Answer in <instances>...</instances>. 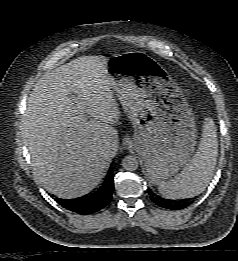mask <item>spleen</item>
Instances as JSON below:
<instances>
[{
    "label": "spleen",
    "mask_w": 238,
    "mask_h": 261,
    "mask_svg": "<svg viewBox=\"0 0 238 261\" xmlns=\"http://www.w3.org/2000/svg\"><path fill=\"white\" fill-rule=\"evenodd\" d=\"M217 155V129L213 119L208 117L203 123L196 153L174 179L160 184L159 192L168 199H185L199 195L212 178Z\"/></svg>",
    "instance_id": "obj_1"
}]
</instances>
